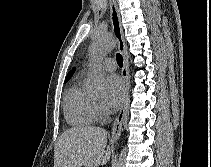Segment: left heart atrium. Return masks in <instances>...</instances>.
Masks as SVG:
<instances>
[{
	"label": "left heart atrium",
	"mask_w": 211,
	"mask_h": 167,
	"mask_svg": "<svg viewBox=\"0 0 211 167\" xmlns=\"http://www.w3.org/2000/svg\"><path fill=\"white\" fill-rule=\"evenodd\" d=\"M124 93V85L116 75H110L106 81V91L103 104L107 110H114L121 102Z\"/></svg>",
	"instance_id": "left-heart-atrium-1"
}]
</instances>
